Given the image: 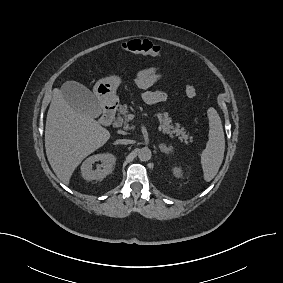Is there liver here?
Wrapping results in <instances>:
<instances>
[{
  "instance_id": "obj_1",
  "label": "liver",
  "mask_w": 283,
  "mask_h": 283,
  "mask_svg": "<svg viewBox=\"0 0 283 283\" xmlns=\"http://www.w3.org/2000/svg\"><path fill=\"white\" fill-rule=\"evenodd\" d=\"M109 138L107 129L93 117L71 108L61 90L54 89L46 119L45 148L53 171L64 184H69L82 160Z\"/></svg>"
}]
</instances>
